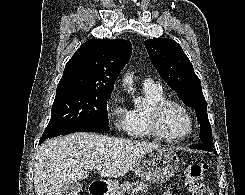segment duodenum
Here are the masks:
<instances>
[{
	"mask_svg": "<svg viewBox=\"0 0 245 195\" xmlns=\"http://www.w3.org/2000/svg\"><path fill=\"white\" fill-rule=\"evenodd\" d=\"M90 195H108L109 188L100 181H94L89 188Z\"/></svg>",
	"mask_w": 245,
	"mask_h": 195,
	"instance_id": "1",
	"label": "duodenum"
}]
</instances>
